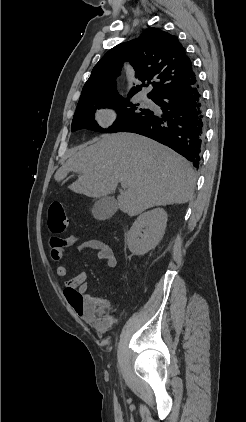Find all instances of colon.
<instances>
[{
    "mask_svg": "<svg viewBox=\"0 0 246 422\" xmlns=\"http://www.w3.org/2000/svg\"><path fill=\"white\" fill-rule=\"evenodd\" d=\"M67 216L65 206L59 201H54L48 208V227L52 233L58 234L65 231L67 227Z\"/></svg>",
    "mask_w": 246,
    "mask_h": 422,
    "instance_id": "obj_1",
    "label": "colon"
}]
</instances>
